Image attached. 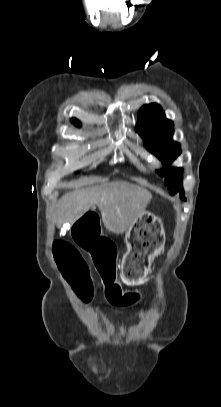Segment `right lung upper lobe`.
Returning <instances> with one entry per match:
<instances>
[{"label":"right lung upper lobe","mask_w":221,"mask_h":407,"mask_svg":"<svg viewBox=\"0 0 221 407\" xmlns=\"http://www.w3.org/2000/svg\"><path fill=\"white\" fill-rule=\"evenodd\" d=\"M72 122L76 125V126H80V122L77 119H72Z\"/></svg>","instance_id":"cb5924a9"}]
</instances>
